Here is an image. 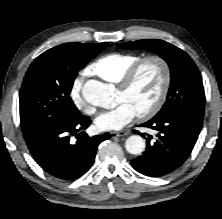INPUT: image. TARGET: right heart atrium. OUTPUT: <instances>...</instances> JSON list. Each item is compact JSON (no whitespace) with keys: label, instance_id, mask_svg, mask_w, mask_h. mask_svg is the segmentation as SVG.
<instances>
[{"label":"right heart atrium","instance_id":"right-heart-atrium-1","mask_svg":"<svg viewBox=\"0 0 222 219\" xmlns=\"http://www.w3.org/2000/svg\"><path fill=\"white\" fill-rule=\"evenodd\" d=\"M71 98L78 109L86 114H93L94 109L88 104L85 97L82 95V81L77 77L71 87Z\"/></svg>","mask_w":222,"mask_h":219}]
</instances>
